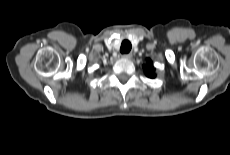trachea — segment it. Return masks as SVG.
Returning <instances> with one entry per match:
<instances>
[{
    "instance_id": "obj_1",
    "label": "trachea",
    "mask_w": 230,
    "mask_h": 155,
    "mask_svg": "<svg viewBox=\"0 0 230 155\" xmlns=\"http://www.w3.org/2000/svg\"><path fill=\"white\" fill-rule=\"evenodd\" d=\"M131 48H132V46H131L130 41H128V40H123L122 43H121L120 52H121L122 54L129 53L130 50H131Z\"/></svg>"
}]
</instances>
